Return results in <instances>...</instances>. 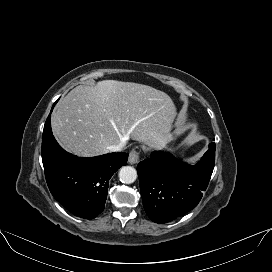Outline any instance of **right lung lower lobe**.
I'll return each mask as SVG.
<instances>
[{
    "label": "right lung lower lobe",
    "mask_w": 272,
    "mask_h": 272,
    "mask_svg": "<svg viewBox=\"0 0 272 272\" xmlns=\"http://www.w3.org/2000/svg\"><path fill=\"white\" fill-rule=\"evenodd\" d=\"M50 119L49 115L42 137V161L50 192L75 216L93 219L104 210L109 180L126 165L128 154L109 153L91 158L74 156L64 151L55 140Z\"/></svg>",
    "instance_id": "1"
}]
</instances>
